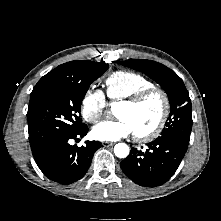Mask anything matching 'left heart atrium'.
Masks as SVG:
<instances>
[{
  "mask_svg": "<svg viewBox=\"0 0 221 221\" xmlns=\"http://www.w3.org/2000/svg\"><path fill=\"white\" fill-rule=\"evenodd\" d=\"M134 134L131 125L124 119L104 121L92 129V136L99 141H118Z\"/></svg>",
  "mask_w": 221,
  "mask_h": 221,
  "instance_id": "left-heart-atrium-1",
  "label": "left heart atrium"
}]
</instances>
